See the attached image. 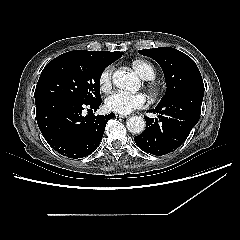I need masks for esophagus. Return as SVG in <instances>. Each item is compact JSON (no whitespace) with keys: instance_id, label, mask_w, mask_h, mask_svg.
<instances>
[{"instance_id":"1","label":"esophagus","mask_w":240,"mask_h":240,"mask_svg":"<svg viewBox=\"0 0 240 240\" xmlns=\"http://www.w3.org/2000/svg\"><path fill=\"white\" fill-rule=\"evenodd\" d=\"M115 116L118 118H128L127 115H122V114H117V113L115 114Z\"/></svg>"}]
</instances>
